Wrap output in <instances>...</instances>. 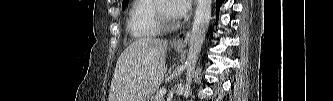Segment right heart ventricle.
Returning a JSON list of instances; mask_svg holds the SVG:
<instances>
[{"label": "right heart ventricle", "instance_id": "right-heart-ventricle-1", "mask_svg": "<svg viewBox=\"0 0 333 101\" xmlns=\"http://www.w3.org/2000/svg\"><path fill=\"white\" fill-rule=\"evenodd\" d=\"M156 0H135L128 17V30L136 40H148L158 36L161 29L157 23Z\"/></svg>", "mask_w": 333, "mask_h": 101}]
</instances>
